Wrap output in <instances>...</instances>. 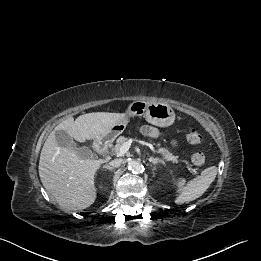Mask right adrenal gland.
Returning <instances> with one entry per match:
<instances>
[{"label": "right adrenal gland", "instance_id": "right-adrenal-gland-1", "mask_svg": "<svg viewBox=\"0 0 261 261\" xmlns=\"http://www.w3.org/2000/svg\"><path fill=\"white\" fill-rule=\"evenodd\" d=\"M103 168H105V169H107V170H109V171H112L113 170V168L112 167H110L109 165H104L103 166Z\"/></svg>", "mask_w": 261, "mask_h": 261}]
</instances>
